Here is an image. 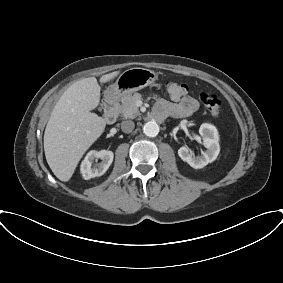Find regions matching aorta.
Returning a JSON list of instances; mask_svg holds the SVG:
<instances>
[{
  "label": "aorta",
  "mask_w": 283,
  "mask_h": 283,
  "mask_svg": "<svg viewBox=\"0 0 283 283\" xmlns=\"http://www.w3.org/2000/svg\"><path fill=\"white\" fill-rule=\"evenodd\" d=\"M143 133L148 137H156L159 133V125L155 121H148L143 126Z\"/></svg>",
  "instance_id": "obj_1"
}]
</instances>
